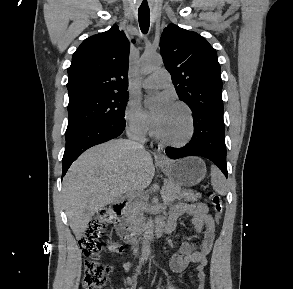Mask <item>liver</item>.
<instances>
[{
	"label": "liver",
	"mask_w": 293,
	"mask_h": 289,
	"mask_svg": "<svg viewBox=\"0 0 293 289\" xmlns=\"http://www.w3.org/2000/svg\"><path fill=\"white\" fill-rule=\"evenodd\" d=\"M155 174L151 153L128 140L116 139L84 152L63 179L62 198L77 240L100 208L125 192L142 193Z\"/></svg>",
	"instance_id": "1"
}]
</instances>
